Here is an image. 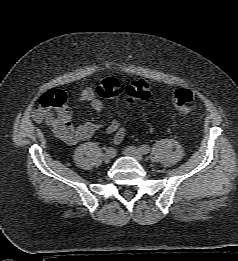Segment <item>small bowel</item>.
<instances>
[{
	"mask_svg": "<svg viewBox=\"0 0 238 261\" xmlns=\"http://www.w3.org/2000/svg\"><path fill=\"white\" fill-rule=\"evenodd\" d=\"M79 101L89 103L92 109L98 113L103 110V103L96 96V91L92 87H87L81 92ZM100 126L99 123L95 122H86L74 126L71 123L69 116L64 122L53 125L52 128L58 138L69 145H74L92 137ZM105 133L112 136V142L114 144H119L125 138L126 129L119 123V121L113 119L108 122Z\"/></svg>",
	"mask_w": 238,
	"mask_h": 261,
	"instance_id": "small-bowel-1",
	"label": "small bowel"
}]
</instances>
